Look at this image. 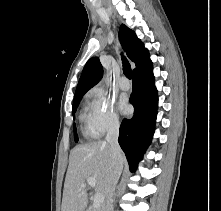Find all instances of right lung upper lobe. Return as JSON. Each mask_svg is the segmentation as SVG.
Here are the masks:
<instances>
[{
  "instance_id": "obj_1",
  "label": "right lung upper lobe",
  "mask_w": 221,
  "mask_h": 211,
  "mask_svg": "<svg viewBox=\"0 0 221 211\" xmlns=\"http://www.w3.org/2000/svg\"><path fill=\"white\" fill-rule=\"evenodd\" d=\"M119 38L121 44L131 61L136 65L133 74L152 65L149 58L148 49H146L134 31L126 25L120 26ZM103 75V67L99 58L93 57L87 61L78 82L75 97L83 96L90 88L96 85Z\"/></svg>"
}]
</instances>
